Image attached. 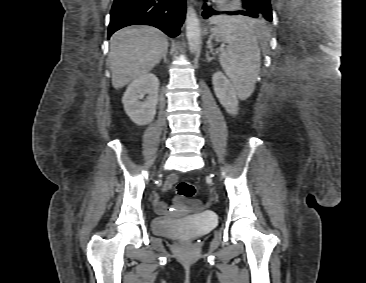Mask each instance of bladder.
<instances>
[{
    "mask_svg": "<svg viewBox=\"0 0 366 283\" xmlns=\"http://www.w3.org/2000/svg\"><path fill=\"white\" fill-rule=\"evenodd\" d=\"M216 226L213 220L199 217L191 220H176L157 217L152 221L155 234L176 239H196Z\"/></svg>",
    "mask_w": 366,
    "mask_h": 283,
    "instance_id": "obj_1",
    "label": "bladder"
}]
</instances>
